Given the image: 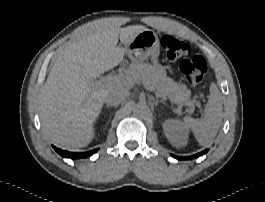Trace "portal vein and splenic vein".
I'll return each instance as SVG.
<instances>
[{
    "mask_svg": "<svg viewBox=\"0 0 265 202\" xmlns=\"http://www.w3.org/2000/svg\"><path fill=\"white\" fill-rule=\"evenodd\" d=\"M130 81V78L128 76H125L123 74H117L115 76L108 75L106 77H103L95 82L92 83L94 86H104V85H111V84H127ZM146 88L150 89V87L147 84H144ZM158 96L162 97L163 99H166L165 96H162L158 94ZM172 103L179 104L173 100L170 99ZM180 106H183V104H179Z\"/></svg>",
    "mask_w": 265,
    "mask_h": 202,
    "instance_id": "18ae733b",
    "label": "portal vein and splenic vein"
}]
</instances>
